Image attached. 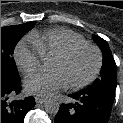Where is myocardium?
<instances>
[{"instance_id": "1", "label": "myocardium", "mask_w": 123, "mask_h": 123, "mask_svg": "<svg viewBox=\"0 0 123 123\" xmlns=\"http://www.w3.org/2000/svg\"><path fill=\"white\" fill-rule=\"evenodd\" d=\"M82 49H91L95 53L96 65H95L93 72L87 79H85L81 82L68 83L69 88H71L73 90L83 89V88L91 85L99 76L101 69H102V65H103V55H102L100 48L95 44H92L89 42H84V43L72 45V46L54 54V56L66 59V58L71 57L76 52H78Z\"/></svg>"}]
</instances>
